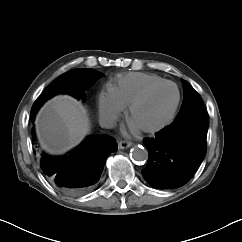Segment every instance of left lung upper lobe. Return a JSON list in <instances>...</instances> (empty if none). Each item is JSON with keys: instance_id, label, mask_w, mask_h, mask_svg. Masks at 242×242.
<instances>
[{"instance_id": "obj_1", "label": "left lung upper lobe", "mask_w": 242, "mask_h": 242, "mask_svg": "<svg viewBox=\"0 0 242 242\" xmlns=\"http://www.w3.org/2000/svg\"><path fill=\"white\" fill-rule=\"evenodd\" d=\"M184 97L181 109L173 124L163 130L181 133L190 129H208L206 111L201 96L185 80H182Z\"/></svg>"}]
</instances>
